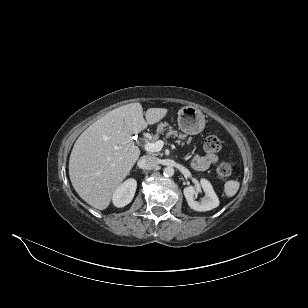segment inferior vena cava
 <instances>
[{
    "instance_id": "1",
    "label": "inferior vena cava",
    "mask_w": 308,
    "mask_h": 308,
    "mask_svg": "<svg viewBox=\"0 0 308 308\" xmlns=\"http://www.w3.org/2000/svg\"><path fill=\"white\" fill-rule=\"evenodd\" d=\"M158 158L151 155H144L139 160V166L145 170H152L158 166Z\"/></svg>"
}]
</instances>
